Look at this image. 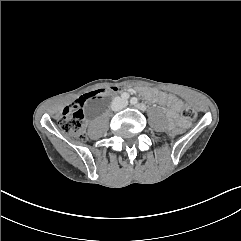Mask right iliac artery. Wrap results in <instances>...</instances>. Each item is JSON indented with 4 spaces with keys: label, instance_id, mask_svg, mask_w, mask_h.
Here are the masks:
<instances>
[{
    "label": "right iliac artery",
    "instance_id": "82829eb1",
    "mask_svg": "<svg viewBox=\"0 0 241 241\" xmlns=\"http://www.w3.org/2000/svg\"><path fill=\"white\" fill-rule=\"evenodd\" d=\"M122 99L127 100L129 98V94L124 92L121 94Z\"/></svg>",
    "mask_w": 241,
    "mask_h": 241
}]
</instances>
